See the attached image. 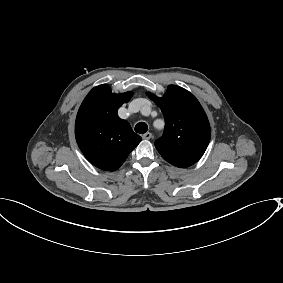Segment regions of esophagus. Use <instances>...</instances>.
<instances>
[{
  "instance_id": "34e87169",
  "label": "esophagus",
  "mask_w": 283,
  "mask_h": 283,
  "mask_svg": "<svg viewBox=\"0 0 283 283\" xmlns=\"http://www.w3.org/2000/svg\"><path fill=\"white\" fill-rule=\"evenodd\" d=\"M152 137V134L150 132H147L142 135V139L149 140Z\"/></svg>"
}]
</instances>
